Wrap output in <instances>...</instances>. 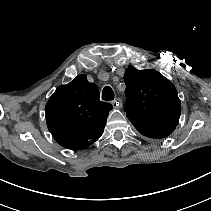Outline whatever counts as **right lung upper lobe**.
<instances>
[{"mask_svg":"<svg viewBox=\"0 0 211 211\" xmlns=\"http://www.w3.org/2000/svg\"><path fill=\"white\" fill-rule=\"evenodd\" d=\"M111 109L110 103L100 101L97 86L79 75L50 97L45 107L46 122L58 144L81 150L100 138Z\"/></svg>","mask_w":211,"mask_h":211,"instance_id":"cb5924a9","label":"right lung upper lobe"}]
</instances>
